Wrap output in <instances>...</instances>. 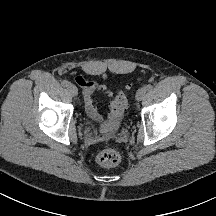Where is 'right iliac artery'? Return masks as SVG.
I'll list each match as a JSON object with an SVG mask.
<instances>
[{
  "instance_id": "1",
  "label": "right iliac artery",
  "mask_w": 216,
  "mask_h": 216,
  "mask_svg": "<svg viewBox=\"0 0 216 216\" xmlns=\"http://www.w3.org/2000/svg\"><path fill=\"white\" fill-rule=\"evenodd\" d=\"M61 84H62L63 87H68L70 83L67 80H63L61 82Z\"/></svg>"
}]
</instances>
